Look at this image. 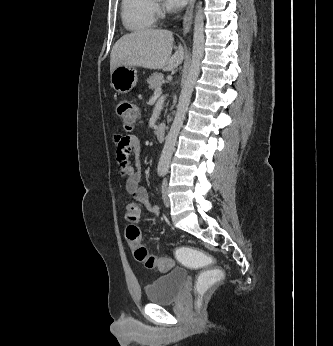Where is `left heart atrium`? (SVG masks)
Masks as SVG:
<instances>
[{"label":"left heart atrium","instance_id":"39dd6f15","mask_svg":"<svg viewBox=\"0 0 333 346\" xmlns=\"http://www.w3.org/2000/svg\"><path fill=\"white\" fill-rule=\"evenodd\" d=\"M188 0H164L165 5L170 10H177L185 6Z\"/></svg>","mask_w":333,"mask_h":346}]
</instances>
